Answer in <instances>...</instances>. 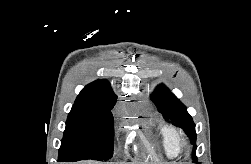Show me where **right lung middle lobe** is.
Returning <instances> with one entry per match:
<instances>
[{
  "label": "right lung middle lobe",
  "instance_id": "dd1d6c3e",
  "mask_svg": "<svg viewBox=\"0 0 251 164\" xmlns=\"http://www.w3.org/2000/svg\"><path fill=\"white\" fill-rule=\"evenodd\" d=\"M112 108L75 102L66 121L59 160L110 159L114 141Z\"/></svg>",
  "mask_w": 251,
  "mask_h": 164
}]
</instances>
